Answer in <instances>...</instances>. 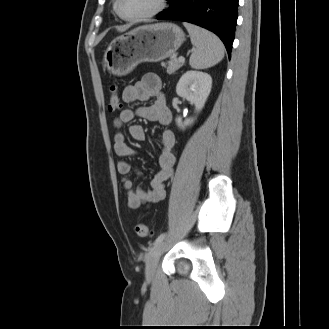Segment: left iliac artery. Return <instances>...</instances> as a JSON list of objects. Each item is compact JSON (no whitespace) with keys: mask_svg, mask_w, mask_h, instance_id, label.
<instances>
[{"mask_svg":"<svg viewBox=\"0 0 329 329\" xmlns=\"http://www.w3.org/2000/svg\"><path fill=\"white\" fill-rule=\"evenodd\" d=\"M165 236H166V233H162V234H160V235L157 237V239L154 241L153 246H156L157 244H159L160 242H162L163 239L165 238Z\"/></svg>","mask_w":329,"mask_h":329,"instance_id":"1","label":"left iliac artery"}]
</instances>
